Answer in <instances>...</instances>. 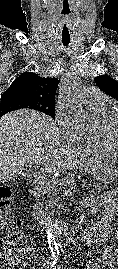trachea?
<instances>
[{
	"label": "trachea",
	"instance_id": "1",
	"mask_svg": "<svg viewBox=\"0 0 118 269\" xmlns=\"http://www.w3.org/2000/svg\"><path fill=\"white\" fill-rule=\"evenodd\" d=\"M69 43H70V39H62V44H63L64 46L69 45Z\"/></svg>",
	"mask_w": 118,
	"mask_h": 269
}]
</instances>
